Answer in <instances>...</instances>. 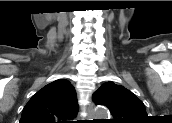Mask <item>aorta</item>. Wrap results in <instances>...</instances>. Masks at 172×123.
I'll return each instance as SVG.
<instances>
[{
  "label": "aorta",
  "mask_w": 172,
  "mask_h": 123,
  "mask_svg": "<svg viewBox=\"0 0 172 123\" xmlns=\"http://www.w3.org/2000/svg\"><path fill=\"white\" fill-rule=\"evenodd\" d=\"M92 112L94 117L98 119H105L109 116L108 109L102 106L95 107Z\"/></svg>",
  "instance_id": "1"
}]
</instances>
